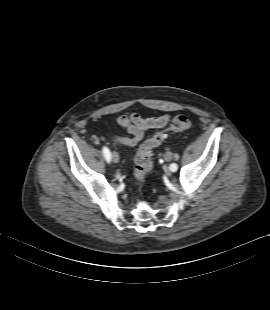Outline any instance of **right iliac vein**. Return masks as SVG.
Here are the masks:
<instances>
[{"label": "right iliac vein", "instance_id": "63e3f726", "mask_svg": "<svg viewBox=\"0 0 270 310\" xmlns=\"http://www.w3.org/2000/svg\"><path fill=\"white\" fill-rule=\"evenodd\" d=\"M112 161L114 163H118L119 162V155L116 152L112 153Z\"/></svg>", "mask_w": 270, "mask_h": 310}]
</instances>
